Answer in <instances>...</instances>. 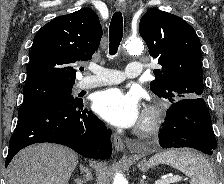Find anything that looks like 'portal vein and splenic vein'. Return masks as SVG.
<instances>
[{"mask_svg": "<svg viewBox=\"0 0 224 184\" xmlns=\"http://www.w3.org/2000/svg\"><path fill=\"white\" fill-rule=\"evenodd\" d=\"M182 177L181 176H173L161 180L155 181V184H172L181 181Z\"/></svg>", "mask_w": 224, "mask_h": 184, "instance_id": "1", "label": "portal vein and splenic vein"}]
</instances>
